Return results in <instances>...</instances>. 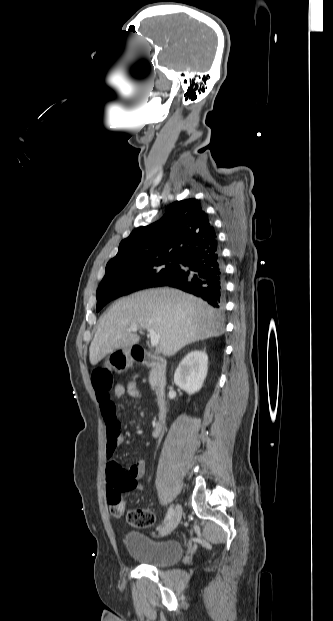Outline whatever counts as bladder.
Returning a JSON list of instances; mask_svg holds the SVG:
<instances>
[{
    "instance_id": "1",
    "label": "bladder",
    "mask_w": 333,
    "mask_h": 621,
    "mask_svg": "<svg viewBox=\"0 0 333 621\" xmlns=\"http://www.w3.org/2000/svg\"><path fill=\"white\" fill-rule=\"evenodd\" d=\"M129 556L141 564L165 567L177 563L184 554L182 544L173 539L154 540L148 534L130 531L125 536Z\"/></svg>"
}]
</instances>
